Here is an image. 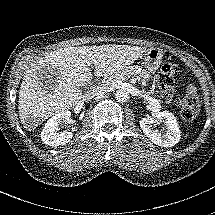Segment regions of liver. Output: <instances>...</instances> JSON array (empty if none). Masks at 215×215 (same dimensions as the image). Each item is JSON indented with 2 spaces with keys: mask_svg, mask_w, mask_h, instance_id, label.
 I'll use <instances>...</instances> for the list:
<instances>
[{
  "mask_svg": "<svg viewBox=\"0 0 215 215\" xmlns=\"http://www.w3.org/2000/svg\"><path fill=\"white\" fill-rule=\"evenodd\" d=\"M146 49L117 44L65 46L36 58L20 83L18 113L23 129L32 132L49 117L80 102V87L92 80V67L97 77L109 76Z\"/></svg>",
  "mask_w": 215,
  "mask_h": 215,
  "instance_id": "6515ba94",
  "label": "liver"
}]
</instances>
